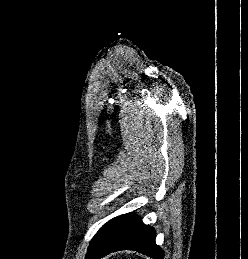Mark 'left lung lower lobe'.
<instances>
[{
    "label": "left lung lower lobe",
    "instance_id": "1",
    "mask_svg": "<svg viewBox=\"0 0 248 259\" xmlns=\"http://www.w3.org/2000/svg\"><path fill=\"white\" fill-rule=\"evenodd\" d=\"M118 250H136L154 259H163L155 244V231L132 213L120 215L103 225L92 239L85 259H100Z\"/></svg>",
    "mask_w": 248,
    "mask_h": 259
}]
</instances>
